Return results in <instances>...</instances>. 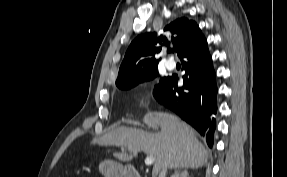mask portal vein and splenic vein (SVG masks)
Here are the masks:
<instances>
[{"label":"portal vein and splenic vein","instance_id":"1","mask_svg":"<svg viewBox=\"0 0 287 177\" xmlns=\"http://www.w3.org/2000/svg\"><path fill=\"white\" fill-rule=\"evenodd\" d=\"M154 160H155V158H154V156H147L146 158H145V160H144V162H145V165L146 166H150V165H152L153 163H154Z\"/></svg>","mask_w":287,"mask_h":177}]
</instances>
